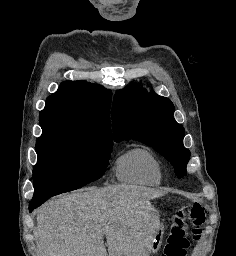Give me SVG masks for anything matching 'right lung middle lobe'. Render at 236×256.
<instances>
[{"label": "right lung middle lobe", "instance_id": "obj_1", "mask_svg": "<svg viewBox=\"0 0 236 256\" xmlns=\"http://www.w3.org/2000/svg\"><path fill=\"white\" fill-rule=\"evenodd\" d=\"M113 140L67 128L42 129L36 143L34 196L40 201L78 189L102 177Z\"/></svg>", "mask_w": 236, "mask_h": 256}]
</instances>
